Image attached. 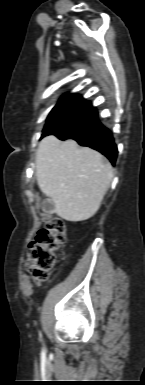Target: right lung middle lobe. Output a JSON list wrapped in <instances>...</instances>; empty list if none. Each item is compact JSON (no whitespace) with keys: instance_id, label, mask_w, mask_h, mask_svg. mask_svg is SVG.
<instances>
[{"instance_id":"dd1d6c3e","label":"right lung middle lobe","mask_w":145,"mask_h":385,"mask_svg":"<svg viewBox=\"0 0 145 385\" xmlns=\"http://www.w3.org/2000/svg\"><path fill=\"white\" fill-rule=\"evenodd\" d=\"M91 108V103L86 102L78 94H68L62 97L50 112L41 138L55 135L66 129Z\"/></svg>"}]
</instances>
